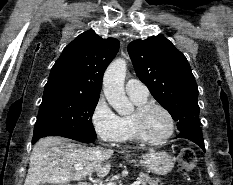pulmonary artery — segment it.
I'll return each mask as SVG.
<instances>
[{
  "label": "pulmonary artery",
  "mask_w": 233,
  "mask_h": 185,
  "mask_svg": "<svg viewBox=\"0 0 233 185\" xmlns=\"http://www.w3.org/2000/svg\"><path fill=\"white\" fill-rule=\"evenodd\" d=\"M125 89L127 94L133 98L145 99L149 94L145 84L134 78H131L126 82Z\"/></svg>",
  "instance_id": "pulmonary-artery-1"
}]
</instances>
